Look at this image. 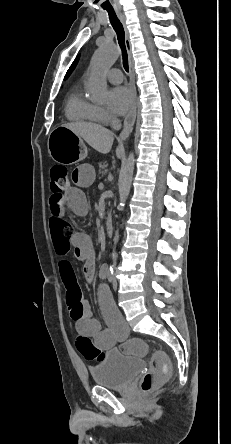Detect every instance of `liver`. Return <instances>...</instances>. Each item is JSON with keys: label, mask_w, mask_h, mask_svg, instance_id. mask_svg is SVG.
I'll use <instances>...</instances> for the list:
<instances>
[{"label": "liver", "mask_w": 231, "mask_h": 444, "mask_svg": "<svg viewBox=\"0 0 231 444\" xmlns=\"http://www.w3.org/2000/svg\"><path fill=\"white\" fill-rule=\"evenodd\" d=\"M63 127L68 128L74 134L84 139L96 151L102 154L110 152L114 141V134L105 127L88 122L68 123L64 124ZM116 155L118 158L124 156V148L122 144L117 147Z\"/></svg>", "instance_id": "liver-1"}]
</instances>
